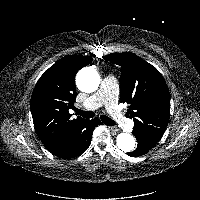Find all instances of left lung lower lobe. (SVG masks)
Listing matches in <instances>:
<instances>
[{"label":"left lung lower lobe","mask_w":200,"mask_h":200,"mask_svg":"<svg viewBox=\"0 0 200 200\" xmlns=\"http://www.w3.org/2000/svg\"><path fill=\"white\" fill-rule=\"evenodd\" d=\"M133 134L137 139L138 145L133 152L127 153L131 157H137L147 153L159 141L153 136H150L148 134H141L139 132H133Z\"/></svg>","instance_id":"0a47b994"}]
</instances>
